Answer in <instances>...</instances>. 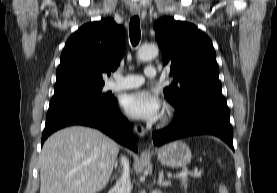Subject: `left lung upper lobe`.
Returning <instances> with one entry per match:
<instances>
[{"label": "left lung upper lobe", "instance_id": "5c2ea615", "mask_svg": "<svg viewBox=\"0 0 277 193\" xmlns=\"http://www.w3.org/2000/svg\"><path fill=\"white\" fill-rule=\"evenodd\" d=\"M154 29L163 63L171 66L174 77L164 94L175 110L200 93L221 91L216 53L205 33L171 17L156 21Z\"/></svg>", "mask_w": 277, "mask_h": 193}]
</instances>
